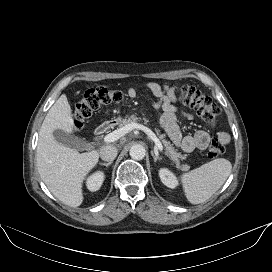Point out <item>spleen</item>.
<instances>
[{"label": "spleen", "instance_id": "1", "mask_svg": "<svg viewBox=\"0 0 272 272\" xmlns=\"http://www.w3.org/2000/svg\"><path fill=\"white\" fill-rule=\"evenodd\" d=\"M232 164L224 158L214 159L181 175L187 200L191 204L206 202L226 181Z\"/></svg>", "mask_w": 272, "mask_h": 272}]
</instances>
